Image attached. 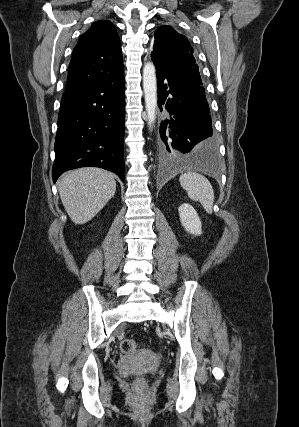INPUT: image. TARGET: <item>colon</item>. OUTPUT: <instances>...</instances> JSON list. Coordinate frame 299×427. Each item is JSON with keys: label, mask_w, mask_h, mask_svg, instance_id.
I'll list each match as a JSON object with an SVG mask.
<instances>
[{"label": "colon", "mask_w": 299, "mask_h": 427, "mask_svg": "<svg viewBox=\"0 0 299 427\" xmlns=\"http://www.w3.org/2000/svg\"><path fill=\"white\" fill-rule=\"evenodd\" d=\"M137 348H138L137 343L132 339H124L120 344L121 351L126 354L136 351ZM134 385L137 390H140V391L144 390L146 387V380L144 376L142 375L138 376L134 382Z\"/></svg>", "instance_id": "obj_1"}]
</instances>
